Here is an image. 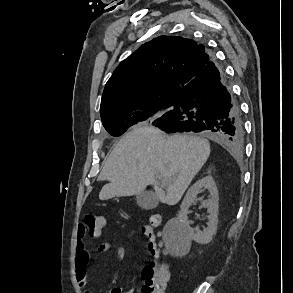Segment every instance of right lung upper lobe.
Wrapping results in <instances>:
<instances>
[{
  "instance_id": "cb5924a9",
  "label": "right lung upper lobe",
  "mask_w": 293,
  "mask_h": 293,
  "mask_svg": "<svg viewBox=\"0 0 293 293\" xmlns=\"http://www.w3.org/2000/svg\"><path fill=\"white\" fill-rule=\"evenodd\" d=\"M203 45L161 36L140 46L113 72L101 100V118L154 108L176 98L212 60Z\"/></svg>"
}]
</instances>
